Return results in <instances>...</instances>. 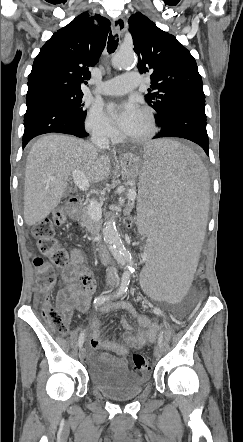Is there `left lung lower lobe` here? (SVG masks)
<instances>
[{"label": "left lung lower lobe", "mask_w": 243, "mask_h": 442, "mask_svg": "<svg viewBox=\"0 0 243 442\" xmlns=\"http://www.w3.org/2000/svg\"><path fill=\"white\" fill-rule=\"evenodd\" d=\"M157 125L161 127V132L154 136V139L185 138L200 145L209 155L204 94H187L178 98Z\"/></svg>", "instance_id": "1"}]
</instances>
